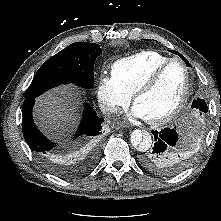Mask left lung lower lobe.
Returning <instances> with one entry per match:
<instances>
[{
  "label": "left lung lower lobe",
  "mask_w": 221,
  "mask_h": 221,
  "mask_svg": "<svg viewBox=\"0 0 221 221\" xmlns=\"http://www.w3.org/2000/svg\"><path fill=\"white\" fill-rule=\"evenodd\" d=\"M154 146L141 157V164L150 172L158 175H173L180 172L187 164L186 153L178 141L176 127L152 131Z\"/></svg>",
  "instance_id": "obj_1"
}]
</instances>
